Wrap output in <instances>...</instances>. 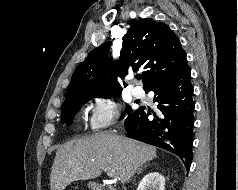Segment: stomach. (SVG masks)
I'll use <instances>...</instances> for the list:
<instances>
[{"label":"stomach","mask_w":238,"mask_h":190,"mask_svg":"<svg viewBox=\"0 0 238 190\" xmlns=\"http://www.w3.org/2000/svg\"><path fill=\"white\" fill-rule=\"evenodd\" d=\"M89 187H91V188H92V187H95V184L92 183V182H90V183H89Z\"/></svg>","instance_id":"stomach-1"}]
</instances>
